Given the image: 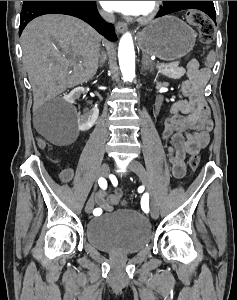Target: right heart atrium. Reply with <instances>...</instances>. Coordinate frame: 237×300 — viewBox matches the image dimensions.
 <instances>
[{"mask_svg":"<svg viewBox=\"0 0 237 300\" xmlns=\"http://www.w3.org/2000/svg\"><path fill=\"white\" fill-rule=\"evenodd\" d=\"M100 18L104 21H111L112 17L110 14L106 13L105 11H99Z\"/></svg>","mask_w":237,"mask_h":300,"instance_id":"1","label":"right heart atrium"}]
</instances>
